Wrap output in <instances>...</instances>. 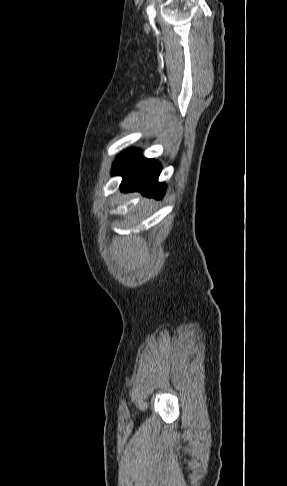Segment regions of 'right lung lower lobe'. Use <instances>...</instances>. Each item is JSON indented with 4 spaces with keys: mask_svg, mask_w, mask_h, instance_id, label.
Segmentation results:
<instances>
[{
    "mask_svg": "<svg viewBox=\"0 0 287 486\" xmlns=\"http://www.w3.org/2000/svg\"><path fill=\"white\" fill-rule=\"evenodd\" d=\"M160 172L161 165L157 161L144 158L137 149H129L117 157L112 174L123 177L121 191H139L148 197L161 199L165 185L157 182Z\"/></svg>",
    "mask_w": 287,
    "mask_h": 486,
    "instance_id": "obj_1",
    "label": "right lung lower lobe"
}]
</instances>
